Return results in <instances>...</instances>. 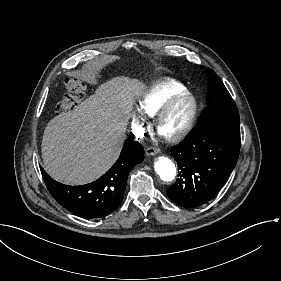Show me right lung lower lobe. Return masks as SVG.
<instances>
[{"instance_id":"right-lung-lower-lobe-1","label":"right lung lower lobe","mask_w":281,"mask_h":281,"mask_svg":"<svg viewBox=\"0 0 281 281\" xmlns=\"http://www.w3.org/2000/svg\"><path fill=\"white\" fill-rule=\"evenodd\" d=\"M143 147L131 141L124 145L119 159L98 180L80 186L61 184L41 168L44 182L54 199L70 212L86 218L104 217L121 204L130 170L143 161Z\"/></svg>"}]
</instances>
